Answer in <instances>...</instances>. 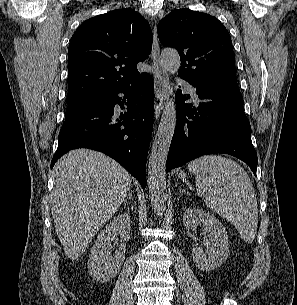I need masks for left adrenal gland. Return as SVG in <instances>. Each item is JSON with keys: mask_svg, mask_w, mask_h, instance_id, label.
Returning a JSON list of instances; mask_svg holds the SVG:
<instances>
[{"mask_svg": "<svg viewBox=\"0 0 297 305\" xmlns=\"http://www.w3.org/2000/svg\"><path fill=\"white\" fill-rule=\"evenodd\" d=\"M186 191L183 190L182 188L179 189V196L181 197L183 193H185Z\"/></svg>", "mask_w": 297, "mask_h": 305, "instance_id": "obj_1", "label": "left adrenal gland"}]
</instances>
